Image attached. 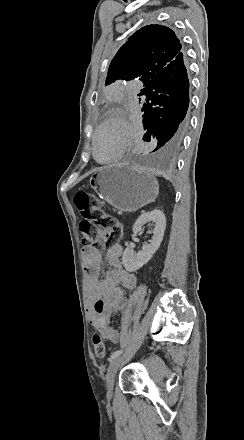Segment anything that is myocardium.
<instances>
[{
  "label": "myocardium",
  "instance_id": "1",
  "mask_svg": "<svg viewBox=\"0 0 244 440\" xmlns=\"http://www.w3.org/2000/svg\"><path fill=\"white\" fill-rule=\"evenodd\" d=\"M109 117V122H103L98 127L93 135H92V144H91V152L92 157L94 160L101 165H115L117 162H119L122 159L123 156V148H124V128L125 124L129 118V114L124 110H114ZM107 127H114L111 129V133H114L115 135V141H114V154L109 157L108 159L101 161L97 158L96 155V139L98 134L106 129Z\"/></svg>",
  "mask_w": 244,
  "mask_h": 440
}]
</instances>
